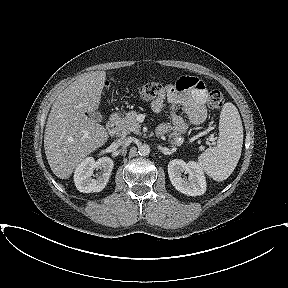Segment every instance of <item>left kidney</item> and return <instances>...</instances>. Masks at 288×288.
Listing matches in <instances>:
<instances>
[{
  "mask_svg": "<svg viewBox=\"0 0 288 288\" xmlns=\"http://www.w3.org/2000/svg\"><path fill=\"white\" fill-rule=\"evenodd\" d=\"M188 174L182 177V173ZM168 175L172 185L179 192L189 196H200L206 191V180L198 163L181 159L171 160L168 164Z\"/></svg>",
  "mask_w": 288,
  "mask_h": 288,
  "instance_id": "1",
  "label": "left kidney"
}]
</instances>
